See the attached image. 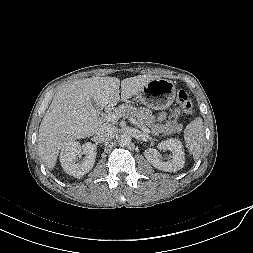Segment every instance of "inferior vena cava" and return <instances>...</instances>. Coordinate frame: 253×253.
Wrapping results in <instances>:
<instances>
[{
	"mask_svg": "<svg viewBox=\"0 0 253 253\" xmlns=\"http://www.w3.org/2000/svg\"><path fill=\"white\" fill-rule=\"evenodd\" d=\"M116 133L115 126L111 124H103L99 127L96 132V138L99 142H108L111 140Z\"/></svg>",
	"mask_w": 253,
	"mask_h": 253,
	"instance_id": "602c4592",
	"label": "inferior vena cava"
}]
</instances>
